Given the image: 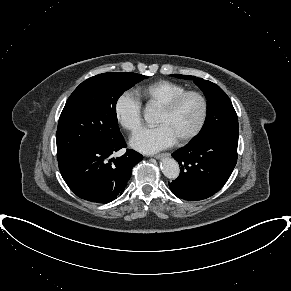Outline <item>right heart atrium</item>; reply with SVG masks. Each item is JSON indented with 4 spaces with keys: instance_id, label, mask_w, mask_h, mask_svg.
Wrapping results in <instances>:
<instances>
[{
    "instance_id": "1",
    "label": "right heart atrium",
    "mask_w": 291,
    "mask_h": 291,
    "mask_svg": "<svg viewBox=\"0 0 291 291\" xmlns=\"http://www.w3.org/2000/svg\"><path fill=\"white\" fill-rule=\"evenodd\" d=\"M115 117L122 128L136 133L142 126V104L130 91L123 92L114 106Z\"/></svg>"
}]
</instances>
